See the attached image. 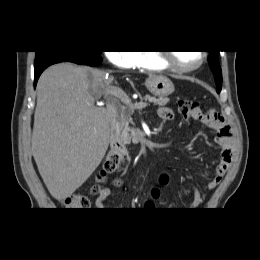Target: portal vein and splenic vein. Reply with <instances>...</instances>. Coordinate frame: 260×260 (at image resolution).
Segmentation results:
<instances>
[{"label": "portal vein and splenic vein", "instance_id": "portal-vein-and-splenic-vein-1", "mask_svg": "<svg viewBox=\"0 0 260 260\" xmlns=\"http://www.w3.org/2000/svg\"><path fill=\"white\" fill-rule=\"evenodd\" d=\"M107 93L122 100L125 104L129 105V107L132 109H142L148 106V103L143 101L133 104L129 99V97L127 96V94L120 88H115V87L111 88Z\"/></svg>", "mask_w": 260, "mask_h": 260}]
</instances>
